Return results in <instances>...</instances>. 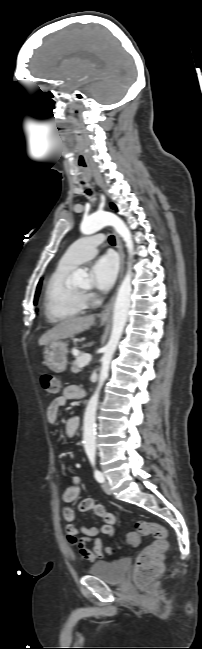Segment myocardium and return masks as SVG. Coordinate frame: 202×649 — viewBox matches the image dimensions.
Returning a JSON list of instances; mask_svg holds the SVG:
<instances>
[{
    "instance_id": "obj_1",
    "label": "myocardium",
    "mask_w": 202,
    "mask_h": 649,
    "mask_svg": "<svg viewBox=\"0 0 202 649\" xmlns=\"http://www.w3.org/2000/svg\"><path fill=\"white\" fill-rule=\"evenodd\" d=\"M76 290H77V292H78V294H79L80 296H82V297L85 296V292H86L85 290H80V289H76Z\"/></svg>"
}]
</instances>
